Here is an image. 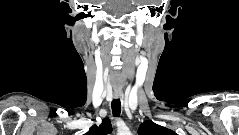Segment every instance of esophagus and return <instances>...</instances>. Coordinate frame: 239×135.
Here are the masks:
<instances>
[{
	"label": "esophagus",
	"instance_id": "obj_1",
	"mask_svg": "<svg viewBox=\"0 0 239 135\" xmlns=\"http://www.w3.org/2000/svg\"><path fill=\"white\" fill-rule=\"evenodd\" d=\"M115 97H116V98H119V97H120V94H119V93H115Z\"/></svg>",
	"mask_w": 239,
	"mask_h": 135
}]
</instances>
